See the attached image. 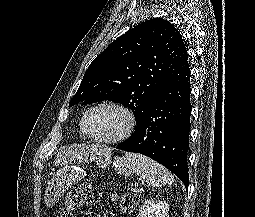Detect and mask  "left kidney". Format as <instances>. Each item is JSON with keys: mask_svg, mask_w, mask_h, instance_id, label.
Masks as SVG:
<instances>
[{"mask_svg": "<svg viewBox=\"0 0 255 217\" xmlns=\"http://www.w3.org/2000/svg\"><path fill=\"white\" fill-rule=\"evenodd\" d=\"M168 211V203L151 199L141 206L138 217H169Z\"/></svg>", "mask_w": 255, "mask_h": 217, "instance_id": "5707ae66", "label": "left kidney"}]
</instances>
